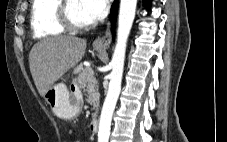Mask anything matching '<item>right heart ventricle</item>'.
I'll return each mask as SVG.
<instances>
[{
  "instance_id": "right-heart-ventricle-1",
  "label": "right heart ventricle",
  "mask_w": 227,
  "mask_h": 142,
  "mask_svg": "<svg viewBox=\"0 0 227 142\" xmlns=\"http://www.w3.org/2000/svg\"><path fill=\"white\" fill-rule=\"evenodd\" d=\"M61 0H33L30 24L33 36L37 39L60 36L66 33L57 18V9Z\"/></svg>"
}]
</instances>
